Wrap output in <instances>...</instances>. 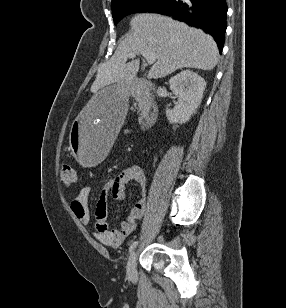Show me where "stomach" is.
Segmentation results:
<instances>
[{"label":"stomach","instance_id":"obj_1","mask_svg":"<svg viewBox=\"0 0 286 308\" xmlns=\"http://www.w3.org/2000/svg\"><path fill=\"white\" fill-rule=\"evenodd\" d=\"M130 85H103L87 98L85 109L70 122L71 151L77 165H100L114 148L117 130L126 116Z\"/></svg>","mask_w":286,"mask_h":308}]
</instances>
